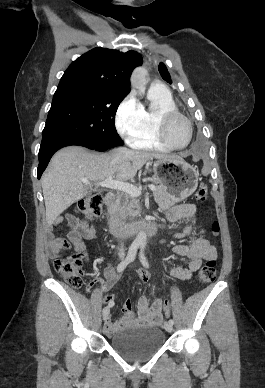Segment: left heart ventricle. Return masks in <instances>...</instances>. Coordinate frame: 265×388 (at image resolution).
I'll return each instance as SVG.
<instances>
[{
  "label": "left heart ventricle",
  "instance_id": "b2bd125f",
  "mask_svg": "<svg viewBox=\"0 0 265 388\" xmlns=\"http://www.w3.org/2000/svg\"><path fill=\"white\" fill-rule=\"evenodd\" d=\"M165 133L171 144L175 146L183 145L188 138V132L184 121L177 117H171L165 128Z\"/></svg>",
  "mask_w": 265,
  "mask_h": 388
}]
</instances>
